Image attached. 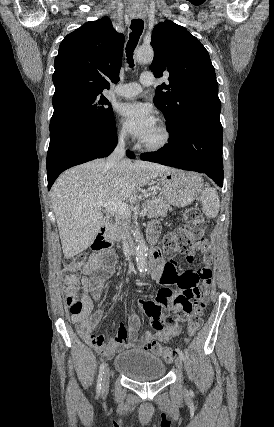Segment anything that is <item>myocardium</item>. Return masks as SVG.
Returning <instances> with one entry per match:
<instances>
[{
	"label": "myocardium",
	"instance_id": "obj_1",
	"mask_svg": "<svg viewBox=\"0 0 274 427\" xmlns=\"http://www.w3.org/2000/svg\"><path fill=\"white\" fill-rule=\"evenodd\" d=\"M159 126L161 127L163 131V139L159 144L152 145V144H145L142 142H139L138 147L142 151L149 153V154H159L165 151L172 143L173 141V131L170 127V125L163 119H159L158 122Z\"/></svg>",
	"mask_w": 274,
	"mask_h": 427
}]
</instances>
